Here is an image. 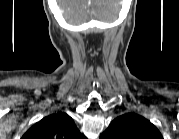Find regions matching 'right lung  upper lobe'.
<instances>
[{"instance_id": "obj_1", "label": "right lung upper lobe", "mask_w": 179, "mask_h": 139, "mask_svg": "<svg viewBox=\"0 0 179 139\" xmlns=\"http://www.w3.org/2000/svg\"><path fill=\"white\" fill-rule=\"evenodd\" d=\"M72 118L63 112L44 117L34 124L23 139H84Z\"/></svg>"}]
</instances>
